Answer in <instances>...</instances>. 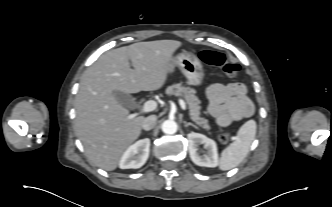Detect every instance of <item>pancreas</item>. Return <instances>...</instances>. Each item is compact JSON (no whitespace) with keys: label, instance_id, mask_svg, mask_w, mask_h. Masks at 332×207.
I'll list each match as a JSON object with an SVG mask.
<instances>
[{"label":"pancreas","instance_id":"1","mask_svg":"<svg viewBox=\"0 0 332 207\" xmlns=\"http://www.w3.org/2000/svg\"><path fill=\"white\" fill-rule=\"evenodd\" d=\"M166 94H182L188 104L190 118L202 128L206 130L210 129L208 120L201 117L200 100L195 96V91L193 89L184 87L182 84L178 83L167 87Z\"/></svg>","mask_w":332,"mask_h":207}]
</instances>
